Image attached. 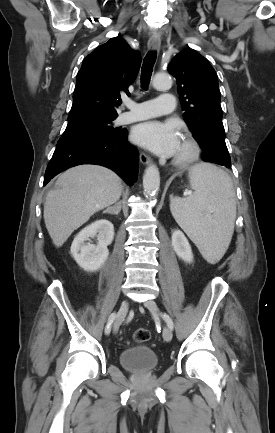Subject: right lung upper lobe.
Listing matches in <instances>:
<instances>
[{"mask_svg":"<svg viewBox=\"0 0 275 433\" xmlns=\"http://www.w3.org/2000/svg\"><path fill=\"white\" fill-rule=\"evenodd\" d=\"M141 57L117 36L97 47L83 61L76 77L73 105L68 118L85 115L117 116L116 99L128 92Z\"/></svg>","mask_w":275,"mask_h":433,"instance_id":"cb5924a9","label":"right lung upper lobe"}]
</instances>
